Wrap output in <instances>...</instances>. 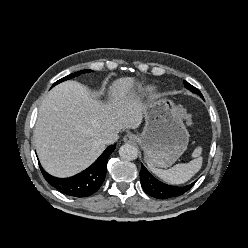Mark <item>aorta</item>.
<instances>
[{"instance_id": "obj_1", "label": "aorta", "mask_w": 248, "mask_h": 248, "mask_svg": "<svg viewBox=\"0 0 248 248\" xmlns=\"http://www.w3.org/2000/svg\"><path fill=\"white\" fill-rule=\"evenodd\" d=\"M119 155L125 160H135L138 157V149L131 144H124L119 149Z\"/></svg>"}]
</instances>
